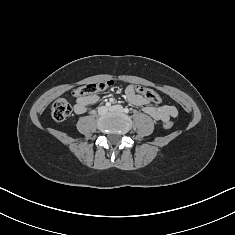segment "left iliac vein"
Wrapping results in <instances>:
<instances>
[{"label":"left iliac vein","instance_id":"1","mask_svg":"<svg viewBox=\"0 0 235 235\" xmlns=\"http://www.w3.org/2000/svg\"><path fill=\"white\" fill-rule=\"evenodd\" d=\"M109 111H111V112H122L123 107L121 105H114V106L109 108Z\"/></svg>","mask_w":235,"mask_h":235}]
</instances>
